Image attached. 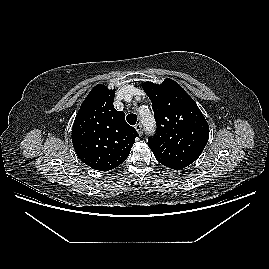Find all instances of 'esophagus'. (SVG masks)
<instances>
[{
    "instance_id": "esophagus-1",
    "label": "esophagus",
    "mask_w": 269,
    "mask_h": 269,
    "mask_svg": "<svg viewBox=\"0 0 269 269\" xmlns=\"http://www.w3.org/2000/svg\"><path fill=\"white\" fill-rule=\"evenodd\" d=\"M135 129L137 130L139 135L143 134V128H142V125L140 123L135 125Z\"/></svg>"
}]
</instances>
